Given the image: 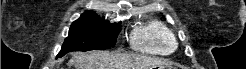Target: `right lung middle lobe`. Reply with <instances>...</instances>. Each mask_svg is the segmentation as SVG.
Instances as JSON below:
<instances>
[{"label":"right lung middle lobe","instance_id":"obj_1","mask_svg":"<svg viewBox=\"0 0 246 69\" xmlns=\"http://www.w3.org/2000/svg\"><path fill=\"white\" fill-rule=\"evenodd\" d=\"M120 24L105 21L73 22L58 57L69 51L105 50L115 45Z\"/></svg>","mask_w":246,"mask_h":69}]
</instances>
